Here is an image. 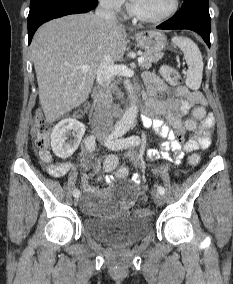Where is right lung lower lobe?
<instances>
[{
  "instance_id": "right-lung-lower-lobe-1",
  "label": "right lung lower lobe",
  "mask_w": 233,
  "mask_h": 284,
  "mask_svg": "<svg viewBox=\"0 0 233 284\" xmlns=\"http://www.w3.org/2000/svg\"><path fill=\"white\" fill-rule=\"evenodd\" d=\"M97 4V0H48L31 5L28 15L29 43L43 23L69 14L88 12Z\"/></svg>"
}]
</instances>
